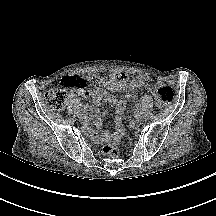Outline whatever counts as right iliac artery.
I'll use <instances>...</instances> for the list:
<instances>
[{
	"label": "right iliac artery",
	"instance_id": "1",
	"mask_svg": "<svg viewBox=\"0 0 216 216\" xmlns=\"http://www.w3.org/2000/svg\"><path fill=\"white\" fill-rule=\"evenodd\" d=\"M81 114H86V109H81Z\"/></svg>",
	"mask_w": 216,
	"mask_h": 216
}]
</instances>
